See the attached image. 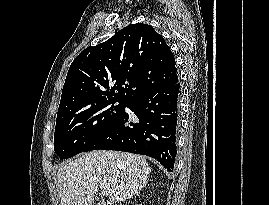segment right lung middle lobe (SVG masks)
<instances>
[{
	"mask_svg": "<svg viewBox=\"0 0 269 205\" xmlns=\"http://www.w3.org/2000/svg\"><path fill=\"white\" fill-rule=\"evenodd\" d=\"M118 102V105L114 103ZM127 102L109 100L56 120L54 151L61 160L83 150L125 110Z\"/></svg>",
	"mask_w": 269,
	"mask_h": 205,
	"instance_id": "1",
	"label": "right lung middle lobe"
}]
</instances>
